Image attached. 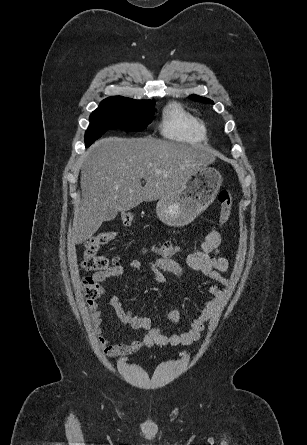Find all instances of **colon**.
I'll list each match as a JSON object with an SVG mask.
<instances>
[{"mask_svg":"<svg viewBox=\"0 0 307 445\" xmlns=\"http://www.w3.org/2000/svg\"><path fill=\"white\" fill-rule=\"evenodd\" d=\"M218 200L220 203L218 222L222 225L228 221L231 215L232 199L230 192L227 189L221 190ZM122 221L124 224L130 225L133 221V216L130 213H126L122 216ZM115 237L116 233L113 231H104L92 237L86 244L83 253L82 267L87 271L102 272L114 266V264L116 265L115 262L111 261L106 256L97 253L101 247L109 244ZM153 250L159 256L167 258L176 252V247L171 242H165L157 245ZM83 291L88 304L94 306L100 293L98 286L92 277L84 279Z\"/></svg>","mask_w":307,"mask_h":445,"instance_id":"5ec220e1","label":"colon"}]
</instances>
